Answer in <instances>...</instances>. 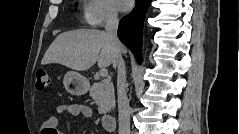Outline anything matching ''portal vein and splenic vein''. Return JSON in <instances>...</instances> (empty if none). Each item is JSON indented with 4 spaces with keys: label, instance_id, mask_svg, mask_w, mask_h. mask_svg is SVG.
Masks as SVG:
<instances>
[{
    "label": "portal vein and splenic vein",
    "instance_id": "18ae733b",
    "mask_svg": "<svg viewBox=\"0 0 239 134\" xmlns=\"http://www.w3.org/2000/svg\"><path fill=\"white\" fill-rule=\"evenodd\" d=\"M100 76L101 77H107L108 76V71L105 68L100 69Z\"/></svg>",
    "mask_w": 239,
    "mask_h": 134
}]
</instances>
